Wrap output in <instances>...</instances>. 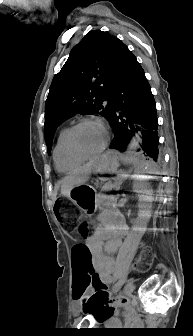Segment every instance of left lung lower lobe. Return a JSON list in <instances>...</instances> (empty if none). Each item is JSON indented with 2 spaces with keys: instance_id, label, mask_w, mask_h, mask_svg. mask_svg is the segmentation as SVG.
<instances>
[{
  "instance_id": "1",
  "label": "left lung lower lobe",
  "mask_w": 193,
  "mask_h": 336,
  "mask_svg": "<svg viewBox=\"0 0 193 336\" xmlns=\"http://www.w3.org/2000/svg\"><path fill=\"white\" fill-rule=\"evenodd\" d=\"M109 123L114 138L109 148L125 151L130 139L140 129L142 149L147 156L158 158V121L156 104L144 71L132 52L126 48L111 93Z\"/></svg>"
}]
</instances>
